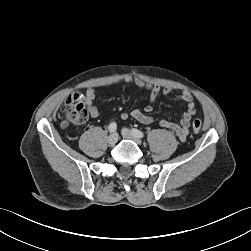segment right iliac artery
<instances>
[{
    "mask_svg": "<svg viewBox=\"0 0 251 251\" xmlns=\"http://www.w3.org/2000/svg\"><path fill=\"white\" fill-rule=\"evenodd\" d=\"M110 132H115L117 129V124L115 122H112L108 127Z\"/></svg>",
    "mask_w": 251,
    "mask_h": 251,
    "instance_id": "right-iliac-artery-1",
    "label": "right iliac artery"
}]
</instances>
